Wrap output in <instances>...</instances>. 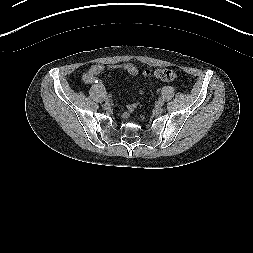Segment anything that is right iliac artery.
<instances>
[{
  "instance_id": "82829eb1",
  "label": "right iliac artery",
  "mask_w": 253,
  "mask_h": 253,
  "mask_svg": "<svg viewBox=\"0 0 253 253\" xmlns=\"http://www.w3.org/2000/svg\"><path fill=\"white\" fill-rule=\"evenodd\" d=\"M110 97H111L110 95L107 96V98H110Z\"/></svg>"
}]
</instances>
